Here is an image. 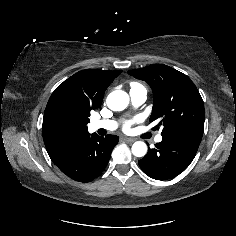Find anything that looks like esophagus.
<instances>
[{
    "label": "esophagus",
    "instance_id": "1",
    "mask_svg": "<svg viewBox=\"0 0 236 236\" xmlns=\"http://www.w3.org/2000/svg\"><path fill=\"white\" fill-rule=\"evenodd\" d=\"M122 139H123L124 141H126V142H129V143H132V142L135 141L134 138H130V137H123Z\"/></svg>",
    "mask_w": 236,
    "mask_h": 236
}]
</instances>
